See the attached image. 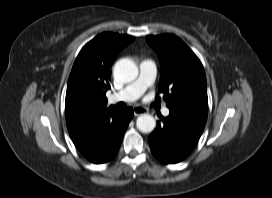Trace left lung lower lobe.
I'll use <instances>...</instances> for the list:
<instances>
[{
  "label": "left lung lower lobe",
  "mask_w": 272,
  "mask_h": 198,
  "mask_svg": "<svg viewBox=\"0 0 272 198\" xmlns=\"http://www.w3.org/2000/svg\"><path fill=\"white\" fill-rule=\"evenodd\" d=\"M206 120L205 116L170 109L169 116L157 122L149 137L153 155L166 164L184 160L196 146Z\"/></svg>",
  "instance_id": "obj_1"
}]
</instances>
